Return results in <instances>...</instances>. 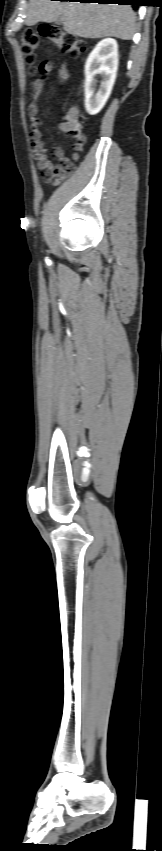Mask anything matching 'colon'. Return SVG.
<instances>
[{"instance_id": "colon-1", "label": "colon", "mask_w": 162, "mask_h": 851, "mask_svg": "<svg viewBox=\"0 0 162 851\" xmlns=\"http://www.w3.org/2000/svg\"><path fill=\"white\" fill-rule=\"evenodd\" d=\"M39 34L55 42L63 52L70 53L73 56H79L86 50V43L83 40L72 33L63 31L58 26L45 25L40 29ZM39 34L32 30H26L20 36L21 49L26 63L30 66L31 74H35L37 71L39 72V68L35 66L36 53L40 43ZM62 126L66 135L74 140L72 150L74 158H77L85 143V137L82 133V123L78 119L77 113L72 110L69 111L65 116ZM70 170V165L62 166L53 174L52 182L59 183L63 181Z\"/></svg>"}]
</instances>
